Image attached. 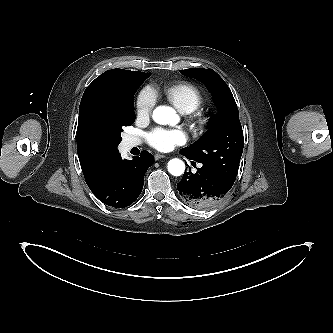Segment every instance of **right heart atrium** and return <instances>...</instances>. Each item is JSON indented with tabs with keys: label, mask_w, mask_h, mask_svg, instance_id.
Masks as SVG:
<instances>
[{
	"label": "right heart atrium",
	"mask_w": 333,
	"mask_h": 333,
	"mask_svg": "<svg viewBox=\"0 0 333 333\" xmlns=\"http://www.w3.org/2000/svg\"><path fill=\"white\" fill-rule=\"evenodd\" d=\"M156 102V97L154 92L151 89H144L140 92L137 102H136V108H137V114L140 117L148 116Z\"/></svg>",
	"instance_id": "obj_1"
}]
</instances>
